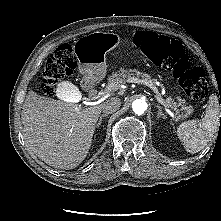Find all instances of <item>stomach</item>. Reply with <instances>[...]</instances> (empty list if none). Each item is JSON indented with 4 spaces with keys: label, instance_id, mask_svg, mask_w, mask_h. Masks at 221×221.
Returning <instances> with one entry per match:
<instances>
[{
    "label": "stomach",
    "instance_id": "obj_1",
    "mask_svg": "<svg viewBox=\"0 0 221 221\" xmlns=\"http://www.w3.org/2000/svg\"><path fill=\"white\" fill-rule=\"evenodd\" d=\"M120 43L119 35L94 32L78 42L77 57L79 71L89 82H98L106 74V53Z\"/></svg>",
    "mask_w": 221,
    "mask_h": 221
}]
</instances>
